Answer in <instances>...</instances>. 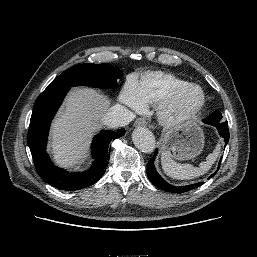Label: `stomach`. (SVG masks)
Returning <instances> with one entry per match:
<instances>
[{"instance_id": "0dacf381", "label": "stomach", "mask_w": 257, "mask_h": 257, "mask_svg": "<svg viewBox=\"0 0 257 257\" xmlns=\"http://www.w3.org/2000/svg\"><path fill=\"white\" fill-rule=\"evenodd\" d=\"M162 146L172 158L193 159L201 153L204 147V134L196 122H186L168 130L164 134Z\"/></svg>"}]
</instances>
